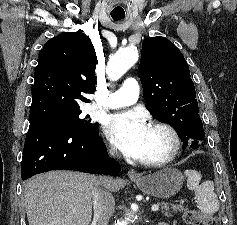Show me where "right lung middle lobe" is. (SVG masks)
<instances>
[{
    "mask_svg": "<svg viewBox=\"0 0 237 225\" xmlns=\"http://www.w3.org/2000/svg\"><path fill=\"white\" fill-rule=\"evenodd\" d=\"M81 111L69 114H62L50 117L34 124H47L70 129L80 133H91L98 129V123H91V120L79 118Z\"/></svg>",
    "mask_w": 237,
    "mask_h": 225,
    "instance_id": "obj_1",
    "label": "right lung middle lobe"
}]
</instances>
